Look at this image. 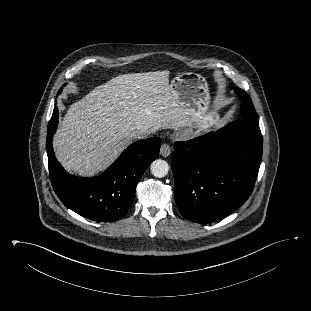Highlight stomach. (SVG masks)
I'll use <instances>...</instances> for the list:
<instances>
[{
	"mask_svg": "<svg viewBox=\"0 0 311 311\" xmlns=\"http://www.w3.org/2000/svg\"><path fill=\"white\" fill-rule=\"evenodd\" d=\"M178 100L193 112L204 127L215 125L219 120L217 111L210 106L206 79L195 72H182L171 82Z\"/></svg>",
	"mask_w": 311,
	"mask_h": 311,
	"instance_id": "obj_1",
	"label": "stomach"
}]
</instances>
